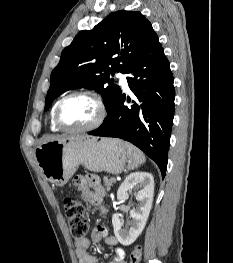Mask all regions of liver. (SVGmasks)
Segmentation results:
<instances>
[{"label": "liver", "instance_id": "liver-1", "mask_svg": "<svg viewBox=\"0 0 233 263\" xmlns=\"http://www.w3.org/2000/svg\"><path fill=\"white\" fill-rule=\"evenodd\" d=\"M65 136H55V135H45L41 138V140L39 141V145L45 143V142H48V141H52V140H58V139H61Z\"/></svg>", "mask_w": 233, "mask_h": 263}]
</instances>
